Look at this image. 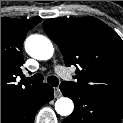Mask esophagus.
I'll return each instance as SVG.
<instances>
[{
	"mask_svg": "<svg viewBox=\"0 0 123 123\" xmlns=\"http://www.w3.org/2000/svg\"><path fill=\"white\" fill-rule=\"evenodd\" d=\"M61 96H62V93H61L59 87H54V97L59 98Z\"/></svg>",
	"mask_w": 123,
	"mask_h": 123,
	"instance_id": "obj_1",
	"label": "esophagus"
}]
</instances>
